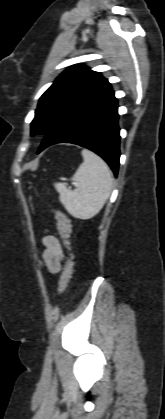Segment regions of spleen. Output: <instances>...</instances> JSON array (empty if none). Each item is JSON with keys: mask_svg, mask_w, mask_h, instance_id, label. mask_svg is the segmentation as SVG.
Listing matches in <instances>:
<instances>
[{"mask_svg": "<svg viewBox=\"0 0 165 419\" xmlns=\"http://www.w3.org/2000/svg\"><path fill=\"white\" fill-rule=\"evenodd\" d=\"M81 153L84 161L71 178L76 189L71 190L61 182L55 183L54 187L68 213L86 220L103 208L110 196L113 178L109 167L97 154L87 149Z\"/></svg>", "mask_w": 165, "mask_h": 419, "instance_id": "obj_1", "label": "spleen"}]
</instances>
